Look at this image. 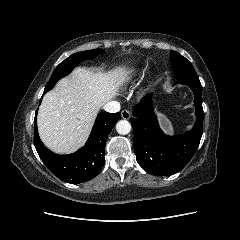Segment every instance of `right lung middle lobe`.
I'll use <instances>...</instances> for the list:
<instances>
[{
	"label": "right lung middle lobe",
	"mask_w": 240,
	"mask_h": 240,
	"mask_svg": "<svg viewBox=\"0 0 240 240\" xmlns=\"http://www.w3.org/2000/svg\"><path fill=\"white\" fill-rule=\"evenodd\" d=\"M103 52L102 49H93L89 51H82L75 53L69 56L67 59L62 61L54 70L49 82L47 83L44 92H48L51 90L55 83L62 77L68 75L73 68L80 62L90 58H93L95 55Z\"/></svg>",
	"instance_id": "1"
}]
</instances>
